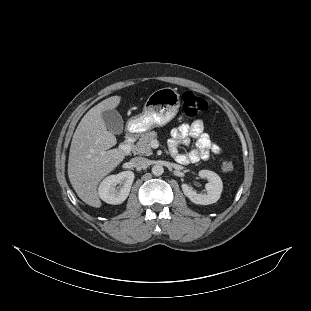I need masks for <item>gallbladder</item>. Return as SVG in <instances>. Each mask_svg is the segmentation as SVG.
<instances>
[{
  "mask_svg": "<svg viewBox=\"0 0 311 311\" xmlns=\"http://www.w3.org/2000/svg\"><path fill=\"white\" fill-rule=\"evenodd\" d=\"M102 120L106 128L114 134H120L123 130V119L116 109H106L101 112Z\"/></svg>",
  "mask_w": 311,
  "mask_h": 311,
  "instance_id": "1",
  "label": "gallbladder"
}]
</instances>
